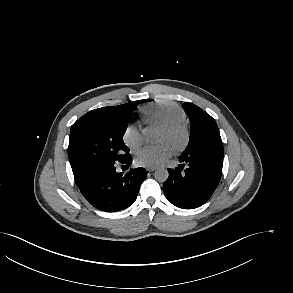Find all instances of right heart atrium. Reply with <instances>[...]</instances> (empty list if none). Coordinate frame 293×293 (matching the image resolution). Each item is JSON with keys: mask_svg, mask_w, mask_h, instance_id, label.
<instances>
[{"mask_svg": "<svg viewBox=\"0 0 293 293\" xmlns=\"http://www.w3.org/2000/svg\"><path fill=\"white\" fill-rule=\"evenodd\" d=\"M123 143L131 150L137 149L142 144V134L133 124L125 127L122 135Z\"/></svg>", "mask_w": 293, "mask_h": 293, "instance_id": "right-heart-atrium-1", "label": "right heart atrium"}]
</instances>
